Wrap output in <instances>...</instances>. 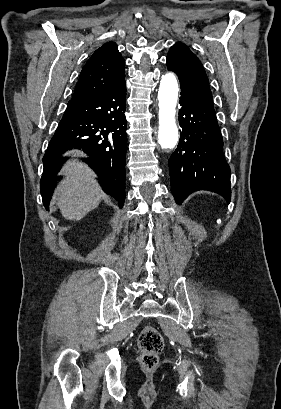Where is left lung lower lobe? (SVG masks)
I'll return each instance as SVG.
<instances>
[{"mask_svg":"<svg viewBox=\"0 0 281 409\" xmlns=\"http://www.w3.org/2000/svg\"><path fill=\"white\" fill-rule=\"evenodd\" d=\"M177 149L169 159L171 190L177 204L196 190L222 195L229 203L230 167L223 154V139L213 104L181 88Z\"/></svg>","mask_w":281,"mask_h":409,"instance_id":"1","label":"left lung lower lobe"}]
</instances>
